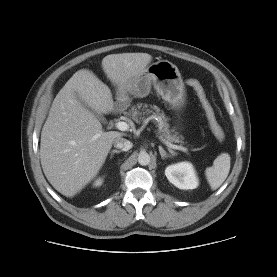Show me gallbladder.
Returning <instances> with one entry per match:
<instances>
[{
	"label": "gallbladder",
	"mask_w": 277,
	"mask_h": 277,
	"mask_svg": "<svg viewBox=\"0 0 277 277\" xmlns=\"http://www.w3.org/2000/svg\"><path fill=\"white\" fill-rule=\"evenodd\" d=\"M78 100L80 101V103L85 107L87 108L89 111H91L95 116L96 118H98L101 122H104L105 123V118L102 117L100 114H98L97 112H95L94 110H92L90 107H88L79 97H78Z\"/></svg>",
	"instance_id": "1"
}]
</instances>
